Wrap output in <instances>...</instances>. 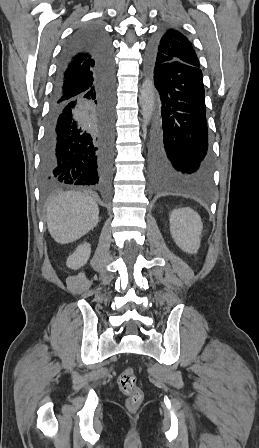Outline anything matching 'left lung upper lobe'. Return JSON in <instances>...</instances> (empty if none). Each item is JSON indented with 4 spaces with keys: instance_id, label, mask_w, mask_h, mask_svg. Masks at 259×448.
<instances>
[{
    "instance_id": "obj_1",
    "label": "left lung upper lobe",
    "mask_w": 259,
    "mask_h": 448,
    "mask_svg": "<svg viewBox=\"0 0 259 448\" xmlns=\"http://www.w3.org/2000/svg\"><path fill=\"white\" fill-rule=\"evenodd\" d=\"M150 56L158 64L178 61L200 68L192 43L174 28L165 29L163 34L154 40Z\"/></svg>"
}]
</instances>
